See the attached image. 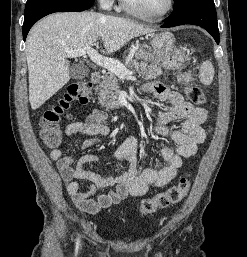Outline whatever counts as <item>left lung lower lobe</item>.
<instances>
[{
  "mask_svg": "<svg viewBox=\"0 0 247 257\" xmlns=\"http://www.w3.org/2000/svg\"><path fill=\"white\" fill-rule=\"evenodd\" d=\"M161 27L169 28L183 24L198 25L206 29L219 44V30L213 0H189L174 8Z\"/></svg>",
  "mask_w": 247,
  "mask_h": 257,
  "instance_id": "0a47b994",
  "label": "left lung lower lobe"
}]
</instances>
